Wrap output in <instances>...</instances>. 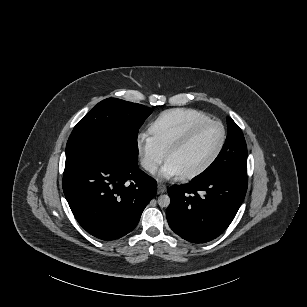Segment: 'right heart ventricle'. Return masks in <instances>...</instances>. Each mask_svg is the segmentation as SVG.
<instances>
[{
	"instance_id": "e07e8e85",
	"label": "right heart ventricle",
	"mask_w": 307,
	"mask_h": 307,
	"mask_svg": "<svg viewBox=\"0 0 307 307\" xmlns=\"http://www.w3.org/2000/svg\"><path fill=\"white\" fill-rule=\"evenodd\" d=\"M204 113L194 109H169L159 114L149 126V132L163 152L183 139L196 127L209 121Z\"/></svg>"
}]
</instances>
